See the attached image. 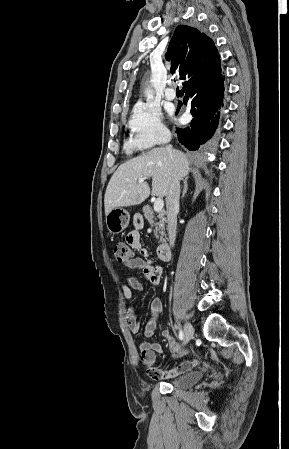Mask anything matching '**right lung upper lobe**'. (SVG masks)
<instances>
[{
	"mask_svg": "<svg viewBox=\"0 0 289 449\" xmlns=\"http://www.w3.org/2000/svg\"><path fill=\"white\" fill-rule=\"evenodd\" d=\"M165 58L171 61V73H178L184 86L220 65V55L213 40L185 25L176 28Z\"/></svg>",
	"mask_w": 289,
	"mask_h": 449,
	"instance_id": "1",
	"label": "right lung upper lobe"
}]
</instances>
